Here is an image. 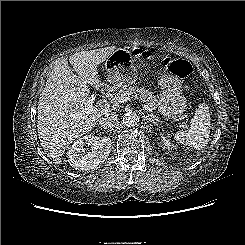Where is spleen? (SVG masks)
Wrapping results in <instances>:
<instances>
[{
    "label": "spleen",
    "instance_id": "1",
    "mask_svg": "<svg viewBox=\"0 0 245 245\" xmlns=\"http://www.w3.org/2000/svg\"><path fill=\"white\" fill-rule=\"evenodd\" d=\"M210 129L211 118L208 105L201 103L191 120L190 129L188 131H178L174 138L178 143L201 150L208 144Z\"/></svg>",
    "mask_w": 245,
    "mask_h": 245
}]
</instances>
